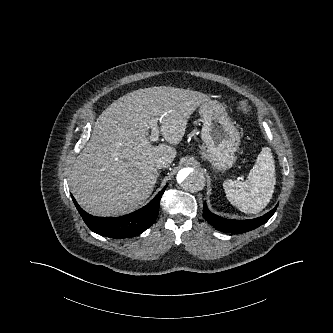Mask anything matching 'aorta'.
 Instances as JSON below:
<instances>
[{
    "label": "aorta",
    "instance_id": "1",
    "mask_svg": "<svg viewBox=\"0 0 333 333\" xmlns=\"http://www.w3.org/2000/svg\"><path fill=\"white\" fill-rule=\"evenodd\" d=\"M176 178L180 187L189 193L199 192L205 186L204 174L197 169L183 168Z\"/></svg>",
    "mask_w": 333,
    "mask_h": 333
}]
</instances>
